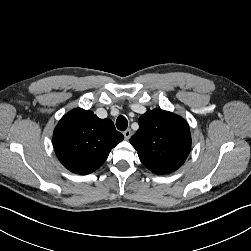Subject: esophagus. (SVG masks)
<instances>
[{
	"label": "esophagus",
	"mask_w": 251,
	"mask_h": 251,
	"mask_svg": "<svg viewBox=\"0 0 251 251\" xmlns=\"http://www.w3.org/2000/svg\"><path fill=\"white\" fill-rule=\"evenodd\" d=\"M123 135H124L125 139L128 140L132 135V131L130 129H127L123 132Z\"/></svg>",
	"instance_id": "esophagus-1"
}]
</instances>
